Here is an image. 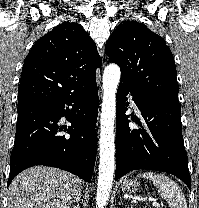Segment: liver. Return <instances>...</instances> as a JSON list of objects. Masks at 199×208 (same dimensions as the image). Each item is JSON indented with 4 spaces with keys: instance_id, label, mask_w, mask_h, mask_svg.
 I'll use <instances>...</instances> for the list:
<instances>
[{
    "instance_id": "liver-1",
    "label": "liver",
    "mask_w": 199,
    "mask_h": 208,
    "mask_svg": "<svg viewBox=\"0 0 199 208\" xmlns=\"http://www.w3.org/2000/svg\"><path fill=\"white\" fill-rule=\"evenodd\" d=\"M83 187L84 182L67 171L31 167L12 181L8 208H70Z\"/></svg>"
}]
</instances>
